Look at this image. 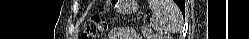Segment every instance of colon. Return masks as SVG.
Segmentation results:
<instances>
[{
  "label": "colon",
  "mask_w": 249,
  "mask_h": 39,
  "mask_svg": "<svg viewBox=\"0 0 249 39\" xmlns=\"http://www.w3.org/2000/svg\"><path fill=\"white\" fill-rule=\"evenodd\" d=\"M107 30V23L99 15L91 16L82 27V39L102 38Z\"/></svg>",
  "instance_id": "5ec220e1"
}]
</instances>
